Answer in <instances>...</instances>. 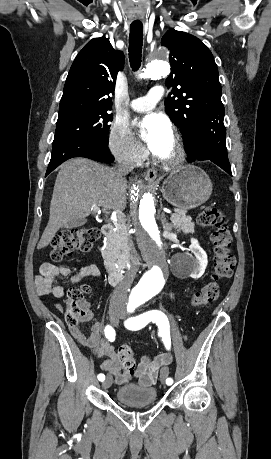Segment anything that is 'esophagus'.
I'll list each match as a JSON object with an SVG mask.
<instances>
[{
    "label": "esophagus",
    "mask_w": 271,
    "mask_h": 459,
    "mask_svg": "<svg viewBox=\"0 0 271 459\" xmlns=\"http://www.w3.org/2000/svg\"><path fill=\"white\" fill-rule=\"evenodd\" d=\"M145 179L150 185H154L157 179V170L153 167L149 168L146 172Z\"/></svg>",
    "instance_id": "esophagus-1"
}]
</instances>
